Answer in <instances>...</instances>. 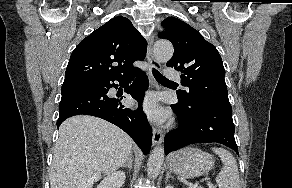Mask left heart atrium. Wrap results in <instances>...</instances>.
<instances>
[{"label": "left heart atrium", "mask_w": 292, "mask_h": 188, "mask_svg": "<svg viewBox=\"0 0 292 188\" xmlns=\"http://www.w3.org/2000/svg\"><path fill=\"white\" fill-rule=\"evenodd\" d=\"M144 109L149 118L153 121L160 122L166 117V112L157 104L155 96H149L144 102Z\"/></svg>", "instance_id": "39dd6f15"}]
</instances>
